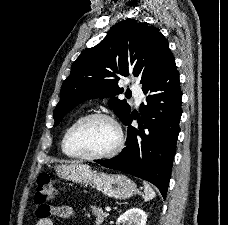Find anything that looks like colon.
<instances>
[{"label":"colon","instance_id":"1","mask_svg":"<svg viewBox=\"0 0 228 225\" xmlns=\"http://www.w3.org/2000/svg\"><path fill=\"white\" fill-rule=\"evenodd\" d=\"M55 183L52 179L44 173L38 177L37 188L35 192V202L44 204L46 200L55 193Z\"/></svg>","mask_w":228,"mask_h":225}]
</instances>
